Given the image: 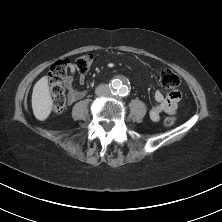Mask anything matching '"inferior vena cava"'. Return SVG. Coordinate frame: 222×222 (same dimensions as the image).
I'll use <instances>...</instances> for the list:
<instances>
[{
	"label": "inferior vena cava",
	"mask_w": 222,
	"mask_h": 222,
	"mask_svg": "<svg viewBox=\"0 0 222 222\" xmlns=\"http://www.w3.org/2000/svg\"><path fill=\"white\" fill-rule=\"evenodd\" d=\"M95 93L99 97H109L111 94V88L108 84H100L96 87Z\"/></svg>",
	"instance_id": "obj_1"
}]
</instances>
